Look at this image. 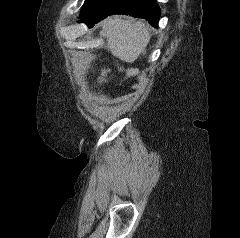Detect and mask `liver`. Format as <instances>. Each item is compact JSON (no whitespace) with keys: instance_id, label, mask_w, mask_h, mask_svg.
<instances>
[{"instance_id":"obj_1","label":"liver","mask_w":240,"mask_h":238,"mask_svg":"<svg viewBox=\"0 0 240 238\" xmlns=\"http://www.w3.org/2000/svg\"><path fill=\"white\" fill-rule=\"evenodd\" d=\"M107 39L106 48L120 60L133 63L141 54L146 53V46L149 43L150 35L147 27L142 21L115 16L108 17L102 21L100 33ZM124 69L120 67L119 71ZM110 69H102L99 83L106 82L107 73ZM139 70L128 68L126 78L137 75Z\"/></svg>"}]
</instances>
